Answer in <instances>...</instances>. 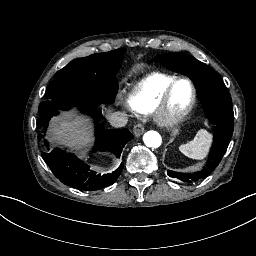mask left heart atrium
I'll list each match as a JSON object with an SVG mask.
<instances>
[{"mask_svg":"<svg viewBox=\"0 0 256 256\" xmlns=\"http://www.w3.org/2000/svg\"><path fill=\"white\" fill-rule=\"evenodd\" d=\"M153 119H154V121H155L156 123H158L159 125H162V124H163V121H162L160 118H158L156 115H153Z\"/></svg>","mask_w":256,"mask_h":256,"instance_id":"39dd6f15","label":"left heart atrium"}]
</instances>
